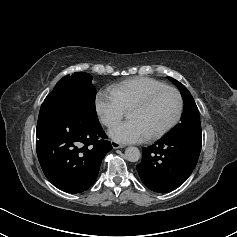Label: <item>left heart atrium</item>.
Returning <instances> with one entry per match:
<instances>
[{"mask_svg":"<svg viewBox=\"0 0 237 237\" xmlns=\"http://www.w3.org/2000/svg\"><path fill=\"white\" fill-rule=\"evenodd\" d=\"M111 138L121 143H139L148 135L137 120H129L115 125L109 132Z\"/></svg>","mask_w":237,"mask_h":237,"instance_id":"39dd6f15","label":"left heart atrium"}]
</instances>
